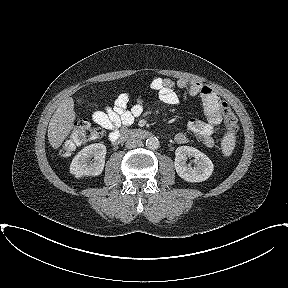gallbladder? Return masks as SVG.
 Returning <instances> with one entry per match:
<instances>
[{"instance_id":"gallbladder-1","label":"gallbladder","mask_w":288,"mask_h":288,"mask_svg":"<svg viewBox=\"0 0 288 288\" xmlns=\"http://www.w3.org/2000/svg\"><path fill=\"white\" fill-rule=\"evenodd\" d=\"M76 101H77L78 104H82V99L81 98H77Z\"/></svg>"}]
</instances>
